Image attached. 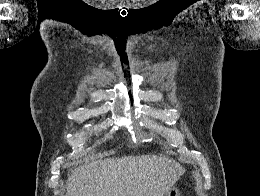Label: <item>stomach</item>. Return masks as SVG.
<instances>
[{
  "label": "stomach",
  "instance_id": "1",
  "mask_svg": "<svg viewBox=\"0 0 260 196\" xmlns=\"http://www.w3.org/2000/svg\"><path fill=\"white\" fill-rule=\"evenodd\" d=\"M183 192L180 191V187H171V191L167 193H161V196H182Z\"/></svg>",
  "mask_w": 260,
  "mask_h": 196
}]
</instances>
